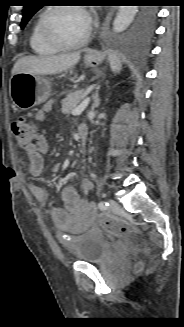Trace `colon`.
Here are the masks:
<instances>
[{
  "label": "colon",
  "instance_id": "5ec220e1",
  "mask_svg": "<svg viewBox=\"0 0 184 327\" xmlns=\"http://www.w3.org/2000/svg\"><path fill=\"white\" fill-rule=\"evenodd\" d=\"M11 130L17 144L24 149H28L34 144L38 136V128L35 123L25 116H17L11 124ZM98 221L103 226H110L117 235L128 234V229L119 222L110 221L105 215H100Z\"/></svg>",
  "mask_w": 184,
  "mask_h": 327
}]
</instances>
